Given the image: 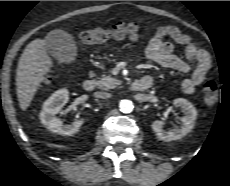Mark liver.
I'll use <instances>...</instances> for the list:
<instances>
[{
	"instance_id": "6515ba94",
	"label": "liver",
	"mask_w": 230,
	"mask_h": 186,
	"mask_svg": "<svg viewBox=\"0 0 230 186\" xmlns=\"http://www.w3.org/2000/svg\"><path fill=\"white\" fill-rule=\"evenodd\" d=\"M46 48V40L37 38L26 46L19 59L16 87L19 106L23 111L29 107L46 74L53 67Z\"/></svg>"
}]
</instances>
